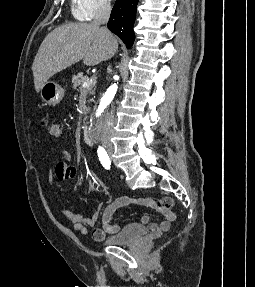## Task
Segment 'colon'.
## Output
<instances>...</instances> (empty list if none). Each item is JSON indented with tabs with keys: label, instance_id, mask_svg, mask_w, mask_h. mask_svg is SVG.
<instances>
[{
	"label": "colon",
	"instance_id": "obj_1",
	"mask_svg": "<svg viewBox=\"0 0 255 287\" xmlns=\"http://www.w3.org/2000/svg\"><path fill=\"white\" fill-rule=\"evenodd\" d=\"M41 124L47 129L48 133L53 137H59L62 133L60 124L48 120H42Z\"/></svg>",
	"mask_w": 255,
	"mask_h": 287
}]
</instances>
